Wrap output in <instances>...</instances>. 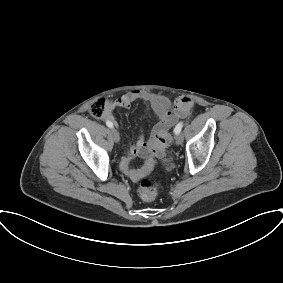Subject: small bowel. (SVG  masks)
I'll use <instances>...</instances> for the list:
<instances>
[{
  "label": "small bowel",
  "instance_id": "obj_1",
  "mask_svg": "<svg viewBox=\"0 0 283 283\" xmlns=\"http://www.w3.org/2000/svg\"><path fill=\"white\" fill-rule=\"evenodd\" d=\"M136 101H143L150 105L159 118V122L154 128V133H157L162 127L170 125L175 119L186 116L192 106L191 100L186 97L178 98L175 102V107H172L169 101L164 98L141 91H132L115 100L108 101L104 118L116 124L113 112L118 108H130ZM177 106H183V108L179 109ZM147 146L148 143L144 136L139 135L135 141H131L128 144L127 155L120 162V170L132 180H139L147 172V167L145 166L137 168L131 166L132 158L137 155H145Z\"/></svg>",
  "mask_w": 283,
  "mask_h": 283
}]
</instances>
